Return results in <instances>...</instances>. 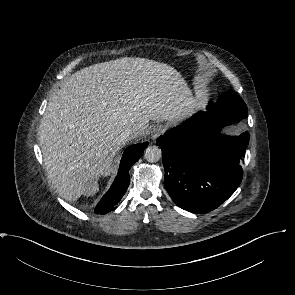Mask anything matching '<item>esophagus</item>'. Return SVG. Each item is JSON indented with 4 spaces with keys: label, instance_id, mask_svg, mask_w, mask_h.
Here are the masks:
<instances>
[{
    "label": "esophagus",
    "instance_id": "1",
    "mask_svg": "<svg viewBox=\"0 0 295 295\" xmlns=\"http://www.w3.org/2000/svg\"><path fill=\"white\" fill-rule=\"evenodd\" d=\"M165 130V126L163 124H156L153 126L151 130V136L153 140H156Z\"/></svg>",
    "mask_w": 295,
    "mask_h": 295
}]
</instances>
